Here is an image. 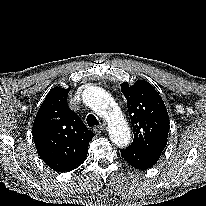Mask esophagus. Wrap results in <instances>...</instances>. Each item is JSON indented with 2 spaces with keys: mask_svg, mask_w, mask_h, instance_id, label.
<instances>
[{
  "mask_svg": "<svg viewBox=\"0 0 206 206\" xmlns=\"http://www.w3.org/2000/svg\"><path fill=\"white\" fill-rule=\"evenodd\" d=\"M105 130H106L105 124H100L98 126L93 127V132H95V133L103 132Z\"/></svg>",
  "mask_w": 206,
  "mask_h": 206,
  "instance_id": "34e87169",
  "label": "esophagus"
}]
</instances>
